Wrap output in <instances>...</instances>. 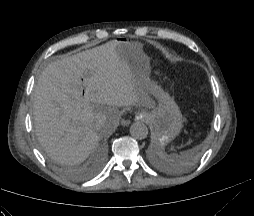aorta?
<instances>
[{
  "label": "aorta",
  "instance_id": "762f6f07",
  "mask_svg": "<svg viewBox=\"0 0 254 216\" xmlns=\"http://www.w3.org/2000/svg\"><path fill=\"white\" fill-rule=\"evenodd\" d=\"M130 134L138 140L145 139L148 135V128L142 122H134L130 127Z\"/></svg>",
  "mask_w": 254,
  "mask_h": 216
}]
</instances>
